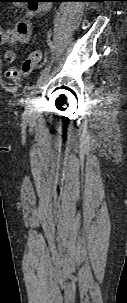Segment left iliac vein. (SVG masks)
Masks as SVG:
<instances>
[{
    "label": "left iliac vein",
    "instance_id": "left-iliac-vein-1",
    "mask_svg": "<svg viewBox=\"0 0 127 303\" xmlns=\"http://www.w3.org/2000/svg\"><path fill=\"white\" fill-rule=\"evenodd\" d=\"M49 78H50V74L47 73L45 75V77L43 78L40 87L43 86L44 84H46V82L49 80ZM25 116L28 119H32L34 117L33 97L28 98L27 101H26V104H25Z\"/></svg>",
    "mask_w": 127,
    "mask_h": 303
}]
</instances>
